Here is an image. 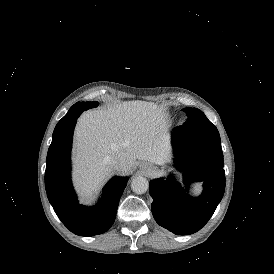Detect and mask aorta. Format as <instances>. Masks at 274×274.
Returning a JSON list of instances; mask_svg holds the SVG:
<instances>
[{
  "mask_svg": "<svg viewBox=\"0 0 274 274\" xmlns=\"http://www.w3.org/2000/svg\"><path fill=\"white\" fill-rule=\"evenodd\" d=\"M149 188V182L145 177L137 176L131 182V189L136 194H143Z\"/></svg>",
  "mask_w": 274,
  "mask_h": 274,
  "instance_id": "aorta-1",
  "label": "aorta"
}]
</instances>
